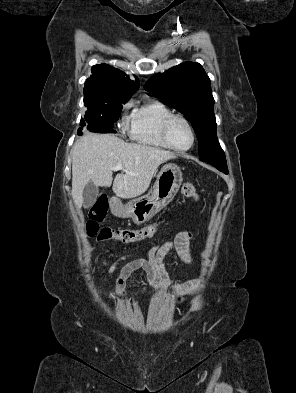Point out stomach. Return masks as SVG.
<instances>
[{"mask_svg": "<svg viewBox=\"0 0 296 393\" xmlns=\"http://www.w3.org/2000/svg\"><path fill=\"white\" fill-rule=\"evenodd\" d=\"M181 183L180 167L173 163L165 164L157 175L151 195L141 196L126 204L116 201L113 205V213L117 217L131 218L134 223L142 224L172 201Z\"/></svg>", "mask_w": 296, "mask_h": 393, "instance_id": "0dacf381", "label": "stomach"}]
</instances>
